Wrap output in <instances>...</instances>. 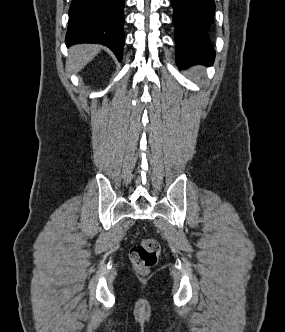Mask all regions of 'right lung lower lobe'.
<instances>
[{"label": "right lung lower lobe", "mask_w": 285, "mask_h": 332, "mask_svg": "<svg viewBox=\"0 0 285 332\" xmlns=\"http://www.w3.org/2000/svg\"><path fill=\"white\" fill-rule=\"evenodd\" d=\"M125 0H72L66 45L97 43L109 47L119 61L124 45Z\"/></svg>", "instance_id": "1"}]
</instances>
